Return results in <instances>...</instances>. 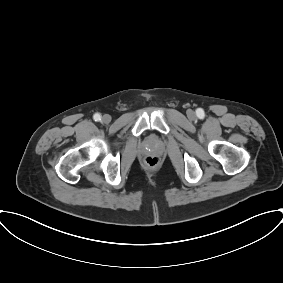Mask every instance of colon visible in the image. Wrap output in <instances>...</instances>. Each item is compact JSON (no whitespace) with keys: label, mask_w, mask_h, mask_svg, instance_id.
Returning <instances> with one entry per match:
<instances>
[{"label":"colon","mask_w":283,"mask_h":283,"mask_svg":"<svg viewBox=\"0 0 283 283\" xmlns=\"http://www.w3.org/2000/svg\"><path fill=\"white\" fill-rule=\"evenodd\" d=\"M145 163L149 167H155V166H157L159 164V158L156 157V156H148L145 159Z\"/></svg>","instance_id":"5ec220e1"}]
</instances>
